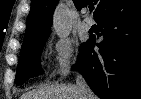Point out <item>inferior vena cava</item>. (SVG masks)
Here are the masks:
<instances>
[{"label":"inferior vena cava","instance_id":"1","mask_svg":"<svg viewBox=\"0 0 141 99\" xmlns=\"http://www.w3.org/2000/svg\"><path fill=\"white\" fill-rule=\"evenodd\" d=\"M76 87L80 92L81 99H95L94 98L95 95L89 88L85 79L79 73H77V76H76Z\"/></svg>","mask_w":141,"mask_h":99}]
</instances>
